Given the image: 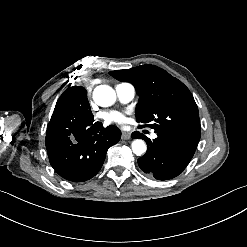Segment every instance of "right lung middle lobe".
I'll use <instances>...</instances> for the list:
<instances>
[{
  "mask_svg": "<svg viewBox=\"0 0 247 247\" xmlns=\"http://www.w3.org/2000/svg\"><path fill=\"white\" fill-rule=\"evenodd\" d=\"M73 109L80 114L88 115L91 113L90 105L87 99V91L84 87L73 86L67 88L56 103L54 113L63 109ZM63 121L53 116L48 124L47 134L61 135Z\"/></svg>",
  "mask_w": 247,
  "mask_h": 247,
  "instance_id": "1",
  "label": "right lung middle lobe"
}]
</instances>
